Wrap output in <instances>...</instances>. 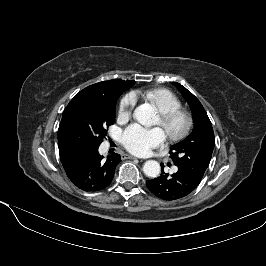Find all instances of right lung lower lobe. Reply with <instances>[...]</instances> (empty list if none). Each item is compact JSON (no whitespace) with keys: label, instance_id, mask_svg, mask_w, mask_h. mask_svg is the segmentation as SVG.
I'll list each match as a JSON object with an SVG mask.
<instances>
[{"label":"right lung lower lobe","instance_id":"obj_1","mask_svg":"<svg viewBox=\"0 0 266 266\" xmlns=\"http://www.w3.org/2000/svg\"><path fill=\"white\" fill-rule=\"evenodd\" d=\"M98 148L99 146L74 147L59 151L68 178L83 191L95 192L109 186L115 168L121 161L117 153L104 159Z\"/></svg>","mask_w":266,"mask_h":266}]
</instances>
